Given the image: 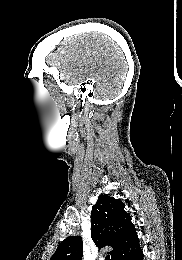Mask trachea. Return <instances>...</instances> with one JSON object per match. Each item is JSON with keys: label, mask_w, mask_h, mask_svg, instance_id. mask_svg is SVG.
<instances>
[{"label": "trachea", "mask_w": 182, "mask_h": 260, "mask_svg": "<svg viewBox=\"0 0 182 260\" xmlns=\"http://www.w3.org/2000/svg\"><path fill=\"white\" fill-rule=\"evenodd\" d=\"M105 260H110V256L107 255L106 258H105Z\"/></svg>", "instance_id": "trachea-1"}]
</instances>
